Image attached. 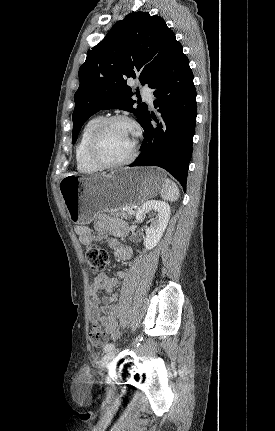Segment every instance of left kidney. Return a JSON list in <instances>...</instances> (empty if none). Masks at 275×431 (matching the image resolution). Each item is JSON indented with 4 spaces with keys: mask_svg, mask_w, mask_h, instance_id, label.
Returning <instances> with one entry per match:
<instances>
[{
    "mask_svg": "<svg viewBox=\"0 0 275 431\" xmlns=\"http://www.w3.org/2000/svg\"><path fill=\"white\" fill-rule=\"evenodd\" d=\"M154 213L151 225L146 229L144 245L146 250L153 249L161 239L170 219V206L168 203L158 200L147 201L136 212V220L142 221L146 214Z\"/></svg>",
    "mask_w": 275,
    "mask_h": 431,
    "instance_id": "obj_1",
    "label": "left kidney"
}]
</instances>
